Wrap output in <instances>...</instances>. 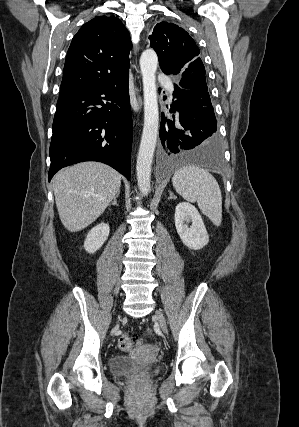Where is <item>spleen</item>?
Returning a JSON list of instances; mask_svg holds the SVG:
<instances>
[{
	"label": "spleen",
	"mask_w": 299,
	"mask_h": 427,
	"mask_svg": "<svg viewBox=\"0 0 299 427\" xmlns=\"http://www.w3.org/2000/svg\"><path fill=\"white\" fill-rule=\"evenodd\" d=\"M172 184L185 200L197 202L199 209L214 225H221L222 195L212 174L198 166H185L175 171Z\"/></svg>",
	"instance_id": "obj_1"
}]
</instances>
